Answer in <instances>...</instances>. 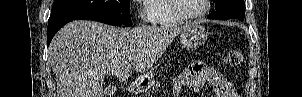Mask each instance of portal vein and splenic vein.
Segmentation results:
<instances>
[{
    "mask_svg": "<svg viewBox=\"0 0 302 97\" xmlns=\"http://www.w3.org/2000/svg\"><path fill=\"white\" fill-rule=\"evenodd\" d=\"M134 59H135V57H129V58H128V61H129V62H133Z\"/></svg>",
    "mask_w": 302,
    "mask_h": 97,
    "instance_id": "1",
    "label": "portal vein and splenic vein"
}]
</instances>
